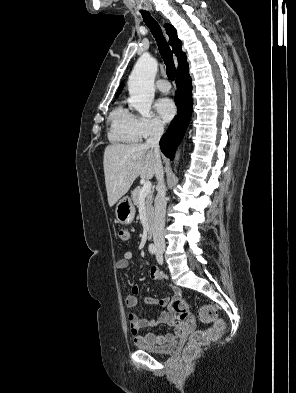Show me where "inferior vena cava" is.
Returning <instances> with one entry per match:
<instances>
[{
    "instance_id": "1",
    "label": "inferior vena cava",
    "mask_w": 296,
    "mask_h": 393,
    "mask_svg": "<svg viewBox=\"0 0 296 393\" xmlns=\"http://www.w3.org/2000/svg\"><path fill=\"white\" fill-rule=\"evenodd\" d=\"M164 132L160 122H154L151 127L150 136L145 145L152 148L156 154L155 176L158 181L157 195L155 198V216L153 228V241L157 247H165L164 226L166 213V188L164 183V172L159 153V140Z\"/></svg>"
}]
</instances>
